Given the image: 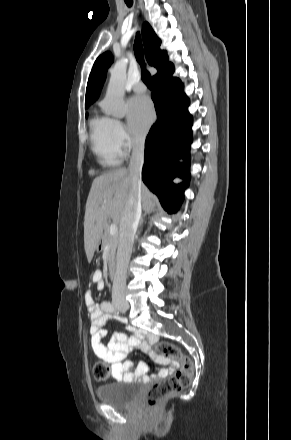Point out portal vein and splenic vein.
Segmentation results:
<instances>
[{
    "label": "portal vein and splenic vein",
    "instance_id": "portal-vein-and-splenic-vein-1",
    "mask_svg": "<svg viewBox=\"0 0 291 440\" xmlns=\"http://www.w3.org/2000/svg\"><path fill=\"white\" fill-rule=\"evenodd\" d=\"M117 231H118V227H117V225L114 223V224H111L110 225V228H109V233L111 234V235H114V234H116L117 233Z\"/></svg>",
    "mask_w": 291,
    "mask_h": 440
}]
</instances>
